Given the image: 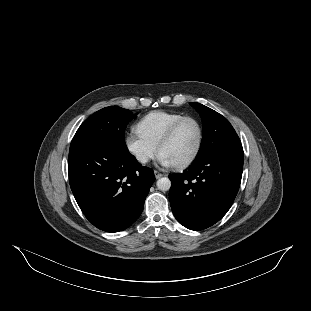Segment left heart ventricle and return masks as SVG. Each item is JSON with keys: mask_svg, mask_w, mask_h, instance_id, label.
<instances>
[{"mask_svg": "<svg viewBox=\"0 0 311 311\" xmlns=\"http://www.w3.org/2000/svg\"><path fill=\"white\" fill-rule=\"evenodd\" d=\"M200 139V128L194 119L185 121L171 143L160 154L166 155L175 165L189 160L196 152Z\"/></svg>", "mask_w": 311, "mask_h": 311, "instance_id": "1", "label": "left heart ventricle"}]
</instances>
